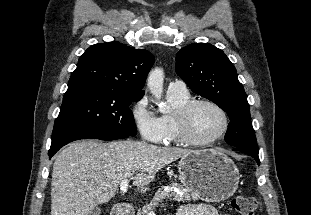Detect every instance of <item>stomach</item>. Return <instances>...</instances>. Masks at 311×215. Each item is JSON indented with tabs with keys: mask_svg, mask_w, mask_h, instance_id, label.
Returning a JSON list of instances; mask_svg holds the SVG:
<instances>
[{
	"mask_svg": "<svg viewBox=\"0 0 311 215\" xmlns=\"http://www.w3.org/2000/svg\"><path fill=\"white\" fill-rule=\"evenodd\" d=\"M179 179L194 196L206 202H221L230 198L239 184L235 163L215 149L192 151L181 158Z\"/></svg>",
	"mask_w": 311,
	"mask_h": 215,
	"instance_id": "stomach-1",
	"label": "stomach"
}]
</instances>
